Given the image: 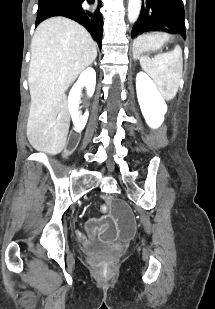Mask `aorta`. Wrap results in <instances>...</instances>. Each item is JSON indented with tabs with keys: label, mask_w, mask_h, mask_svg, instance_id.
<instances>
[{
	"label": "aorta",
	"mask_w": 215,
	"mask_h": 309,
	"mask_svg": "<svg viewBox=\"0 0 215 309\" xmlns=\"http://www.w3.org/2000/svg\"><path fill=\"white\" fill-rule=\"evenodd\" d=\"M141 0H129L128 2V20L135 22L139 16Z\"/></svg>",
	"instance_id": "aorta-1"
}]
</instances>
